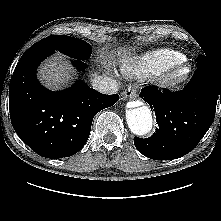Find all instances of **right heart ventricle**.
I'll list each match as a JSON object with an SVG mask.
<instances>
[{
    "label": "right heart ventricle",
    "mask_w": 221,
    "mask_h": 221,
    "mask_svg": "<svg viewBox=\"0 0 221 221\" xmlns=\"http://www.w3.org/2000/svg\"><path fill=\"white\" fill-rule=\"evenodd\" d=\"M185 61V56L173 49H157L139 56H128L121 61V71L134 78L163 72Z\"/></svg>",
    "instance_id": "1"
}]
</instances>
